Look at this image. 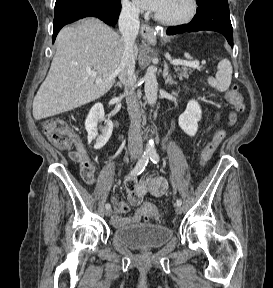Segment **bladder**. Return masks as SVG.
I'll return each mask as SVG.
<instances>
[{"label":"bladder","mask_w":273,"mask_h":288,"mask_svg":"<svg viewBox=\"0 0 273 288\" xmlns=\"http://www.w3.org/2000/svg\"><path fill=\"white\" fill-rule=\"evenodd\" d=\"M113 238L123 247L132 250H151L163 247L173 238L172 229L150 223L119 226Z\"/></svg>","instance_id":"1"}]
</instances>
